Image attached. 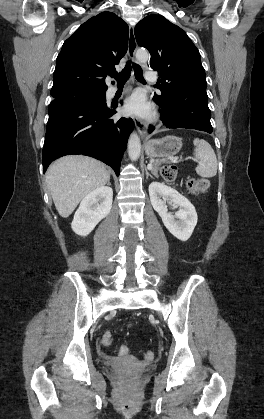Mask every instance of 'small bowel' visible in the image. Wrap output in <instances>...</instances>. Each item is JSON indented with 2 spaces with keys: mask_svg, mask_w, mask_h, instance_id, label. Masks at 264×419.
Instances as JSON below:
<instances>
[{
  "mask_svg": "<svg viewBox=\"0 0 264 419\" xmlns=\"http://www.w3.org/2000/svg\"><path fill=\"white\" fill-rule=\"evenodd\" d=\"M127 348L125 345H121L118 349H117V355L119 357H124L127 355V351H125Z\"/></svg>",
  "mask_w": 264,
  "mask_h": 419,
  "instance_id": "small-bowel-1",
  "label": "small bowel"
}]
</instances>
